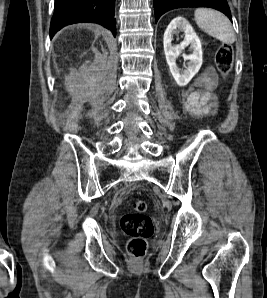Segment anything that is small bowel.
Here are the masks:
<instances>
[{"mask_svg": "<svg viewBox=\"0 0 267 298\" xmlns=\"http://www.w3.org/2000/svg\"><path fill=\"white\" fill-rule=\"evenodd\" d=\"M216 83V76L212 69H207L200 77L197 85L202 89H196L189 93L185 102V109L192 115L203 116L212 114L216 108V102L212 96V90Z\"/></svg>", "mask_w": 267, "mask_h": 298, "instance_id": "obj_1", "label": "small bowel"}]
</instances>
